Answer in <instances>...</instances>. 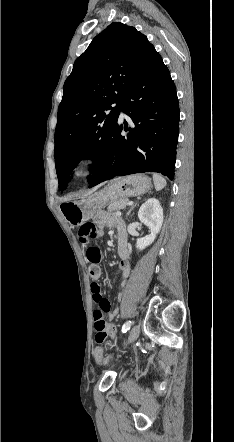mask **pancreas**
Returning a JSON list of instances; mask_svg holds the SVG:
<instances>
[{"instance_id": "cf45deb5", "label": "pancreas", "mask_w": 234, "mask_h": 442, "mask_svg": "<svg viewBox=\"0 0 234 442\" xmlns=\"http://www.w3.org/2000/svg\"><path fill=\"white\" fill-rule=\"evenodd\" d=\"M127 203H128L127 198L112 201L107 207V212L111 213L114 211H119L121 209H124V208H126Z\"/></svg>"}]
</instances>
